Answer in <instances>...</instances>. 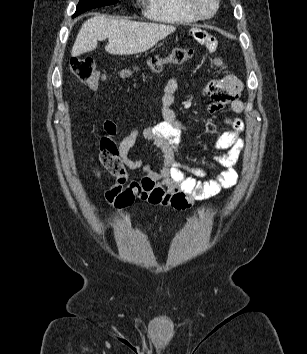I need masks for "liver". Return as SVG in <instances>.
<instances>
[{"mask_svg": "<svg viewBox=\"0 0 307 354\" xmlns=\"http://www.w3.org/2000/svg\"><path fill=\"white\" fill-rule=\"evenodd\" d=\"M172 25L110 19L97 15L84 22L72 48L76 57L97 48L98 41L108 38L106 52L113 55H132L149 50L158 41L174 32Z\"/></svg>", "mask_w": 307, "mask_h": 354, "instance_id": "liver-1", "label": "liver"}]
</instances>
